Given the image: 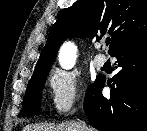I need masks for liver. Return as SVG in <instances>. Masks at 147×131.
<instances>
[{"instance_id":"6515ba94","label":"liver","mask_w":147,"mask_h":131,"mask_svg":"<svg viewBox=\"0 0 147 131\" xmlns=\"http://www.w3.org/2000/svg\"><path fill=\"white\" fill-rule=\"evenodd\" d=\"M23 131H84L82 124L79 122H65L58 125L40 123L28 124L23 128ZM88 131H94L89 129Z\"/></svg>"}]
</instances>
